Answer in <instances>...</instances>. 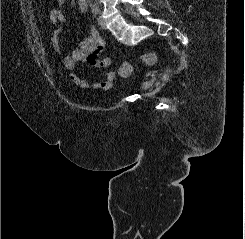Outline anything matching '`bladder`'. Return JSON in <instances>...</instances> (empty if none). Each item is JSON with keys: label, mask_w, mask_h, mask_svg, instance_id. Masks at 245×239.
I'll list each match as a JSON object with an SVG mask.
<instances>
[{"label": "bladder", "mask_w": 245, "mask_h": 239, "mask_svg": "<svg viewBox=\"0 0 245 239\" xmlns=\"http://www.w3.org/2000/svg\"><path fill=\"white\" fill-rule=\"evenodd\" d=\"M151 85H152V83L149 81L140 82L139 84L136 85V90L142 91V90L149 88Z\"/></svg>", "instance_id": "bladder-1"}]
</instances>
